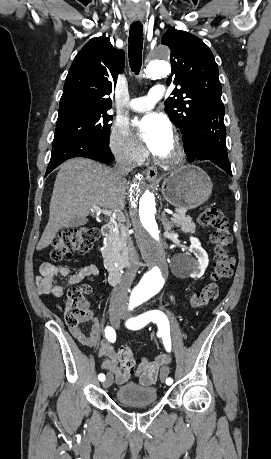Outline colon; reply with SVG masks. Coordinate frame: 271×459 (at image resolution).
<instances>
[{
    "label": "colon",
    "instance_id": "5ec220e1",
    "mask_svg": "<svg viewBox=\"0 0 271 459\" xmlns=\"http://www.w3.org/2000/svg\"><path fill=\"white\" fill-rule=\"evenodd\" d=\"M198 221L202 226L212 229L210 241L214 247L212 272L214 282L191 294L190 304L193 307L204 306L218 298L219 288L215 282L229 278L233 273L235 263V259L230 252L233 238L223 211L215 207H209L199 215ZM97 238L98 231L95 228L80 226L64 231L53 241L51 258L54 261H61L71 257L76 252L89 251ZM90 292L91 287L87 284L73 287L68 291L65 319L70 327L77 326L89 316L90 311L86 303V295ZM118 357L125 370L133 371L135 369V359L132 350L128 346L119 348Z\"/></svg>",
    "mask_w": 271,
    "mask_h": 459
}]
</instances>
